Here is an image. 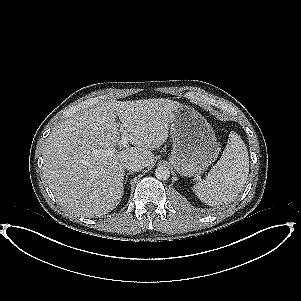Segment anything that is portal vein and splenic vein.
I'll return each mask as SVG.
<instances>
[{
	"instance_id": "portal-vein-and-splenic-vein-1",
	"label": "portal vein and splenic vein",
	"mask_w": 301,
	"mask_h": 301,
	"mask_svg": "<svg viewBox=\"0 0 301 301\" xmlns=\"http://www.w3.org/2000/svg\"><path fill=\"white\" fill-rule=\"evenodd\" d=\"M127 144H128V137H122L118 143L119 148H127L128 147Z\"/></svg>"
}]
</instances>
